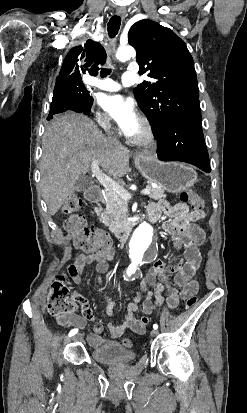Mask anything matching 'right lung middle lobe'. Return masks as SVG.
I'll use <instances>...</instances> for the list:
<instances>
[{
  "mask_svg": "<svg viewBox=\"0 0 247 413\" xmlns=\"http://www.w3.org/2000/svg\"><path fill=\"white\" fill-rule=\"evenodd\" d=\"M61 96H78L88 98L89 91L82 81L76 82H59L55 84L53 97Z\"/></svg>",
  "mask_w": 247,
  "mask_h": 413,
  "instance_id": "obj_1",
  "label": "right lung middle lobe"
}]
</instances>
